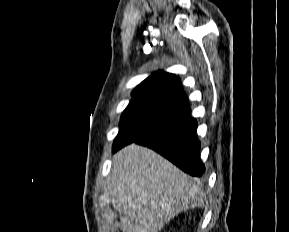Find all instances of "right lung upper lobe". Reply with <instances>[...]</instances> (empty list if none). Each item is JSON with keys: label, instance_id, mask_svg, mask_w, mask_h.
Listing matches in <instances>:
<instances>
[{"label": "right lung upper lobe", "instance_id": "right-lung-upper-lobe-1", "mask_svg": "<svg viewBox=\"0 0 289 232\" xmlns=\"http://www.w3.org/2000/svg\"><path fill=\"white\" fill-rule=\"evenodd\" d=\"M131 95V102L149 103L184 114L190 111L179 78L164 71L153 73L138 85Z\"/></svg>", "mask_w": 289, "mask_h": 232}]
</instances>
